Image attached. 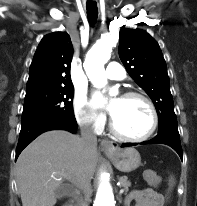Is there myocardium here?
<instances>
[{
  "label": "myocardium",
  "instance_id": "myocardium-1",
  "mask_svg": "<svg viewBox=\"0 0 197 206\" xmlns=\"http://www.w3.org/2000/svg\"><path fill=\"white\" fill-rule=\"evenodd\" d=\"M122 98H139L141 100H143L149 107L150 111H151V115H152V123H151V127L148 130L147 133H145L144 135L141 136H130L127 134H124L123 132H121L115 122L113 117H110V130L111 132L118 138L122 139V140H127V141H134V142H141V141H145L147 139H149L156 131L158 124H159V116H158V112L157 109L153 103V101L145 94L141 93V92H137V91H127L125 93L122 94L121 96Z\"/></svg>",
  "mask_w": 197,
  "mask_h": 206
}]
</instances>
